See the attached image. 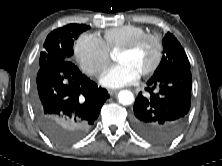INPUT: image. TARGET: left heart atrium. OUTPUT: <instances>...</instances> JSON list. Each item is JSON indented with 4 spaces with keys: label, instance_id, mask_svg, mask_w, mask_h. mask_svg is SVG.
Here are the masks:
<instances>
[{
    "label": "left heart atrium",
    "instance_id": "1",
    "mask_svg": "<svg viewBox=\"0 0 222 166\" xmlns=\"http://www.w3.org/2000/svg\"><path fill=\"white\" fill-rule=\"evenodd\" d=\"M140 74L126 63H118L108 68L100 77V83L107 88H120L132 84Z\"/></svg>",
    "mask_w": 222,
    "mask_h": 166
}]
</instances>
